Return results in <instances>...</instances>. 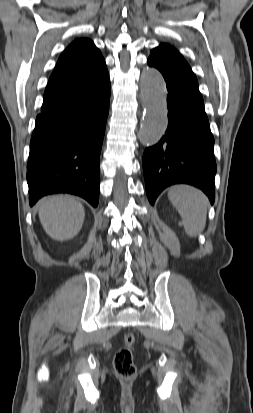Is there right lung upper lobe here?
<instances>
[{
  "label": "right lung upper lobe",
  "mask_w": 253,
  "mask_h": 413,
  "mask_svg": "<svg viewBox=\"0 0 253 413\" xmlns=\"http://www.w3.org/2000/svg\"><path fill=\"white\" fill-rule=\"evenodd\" d=\"M107 77L99 49L90 39H76L58 59L44 93L40 114L96 92Z\"/></svg>",
  "instance_id": "1"
}]
</instances>
